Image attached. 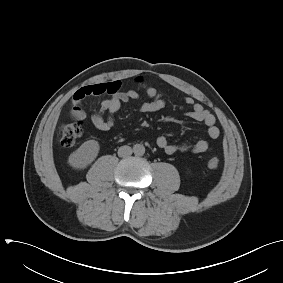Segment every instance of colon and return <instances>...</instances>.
<instances>
[{
    "instance_id": "colon-1",
    "label": "colon",
    "mask_w": 283,
    "mask_h": 283,
    "mask_svg": "<svg viewBox=\"0 0 283 283\" xmlns=\"http://www.w3.org/2000/svg\"><path fill=\"white\" fill-rule=\"evenodd\" d=\"M60 141L65 147H71L82 134V123L80 121L64 123L59 128ZM209 169H217L220 165V160L216 157H211L207 160Z\"/></svg>"
}]
</instances>
